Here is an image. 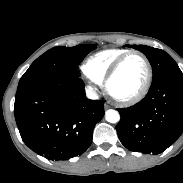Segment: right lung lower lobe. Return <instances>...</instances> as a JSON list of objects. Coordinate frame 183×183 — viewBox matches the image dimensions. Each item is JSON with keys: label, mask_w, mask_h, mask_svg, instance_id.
<instances>
[{"label": "right lung lower lobe", "mask_w": 183, "mask_h": 183, "mask_svg": "<svg viewBox=\"0 0 183 183\" xmlns=\"http://www.w3.org/2000/svg\"><path fill=\"white\" fill-rule=\"evenodd\" d=\"M104 103L85 96L78 75L21 81L14 115L24 143L49 160L83 154L92 142Z\"/></svg>", "instance_id": "right-lung-lower-lobe-1"}]
</instances>
